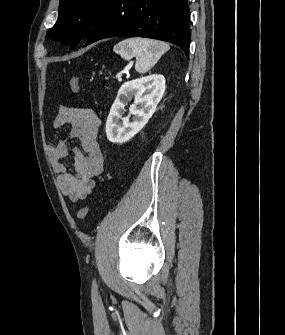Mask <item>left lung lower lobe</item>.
Here are the masks:
<instances>
[{
	"label": "left lung lower lobe",
	"instance_id": "1",
	"mask_svg": "<svg viewBox=\"0 0 285 335\" xmlns=\"http://www.w3.org/2000/svg\"><path fill=\"white\" fill-rule=\"evenodd\" d=\"M119 36L167 41L180 47L189 58L187 0H111L90 30L85 45Z\"/></svg>",
	"mask_w": 285,
	"mask_h": 335
}]
</instances>
